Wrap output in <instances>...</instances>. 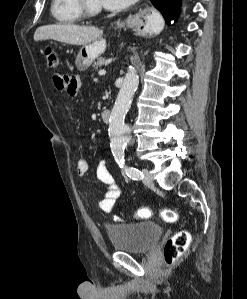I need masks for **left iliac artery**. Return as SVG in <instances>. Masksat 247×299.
<instances>
[{"instance_id":"1","label":"left iliac artery","mask_w":247,"mask_h":299,"mask_svg":"<svg viewBox=\"0 0 247 299\" xmlns=\"http://www.w3.org/2000/svg\"><path fill=\"white\" fill-rule=\"evenodd\" d=\"M115 160L121 168L124 166V155L117 156ZM124 170L127 176L133 180H139L144 177L143 173L134 167L125 166Z\"/></svg>"}]
</instances>
